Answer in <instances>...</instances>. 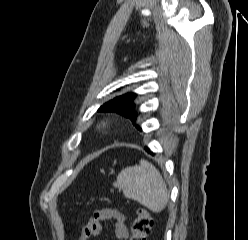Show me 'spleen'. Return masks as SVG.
Returning <instances> with one entry per match:
<instances>
[{
	"instance_id": "1",
	"label": "spleen",
	"mask_w": 248,
	"mask_h": 240,
	"mask_svg": "<svg viewBox=\"0 0 248 240\" xmlns=\"http://www.w3.org/2000/svg\"><path fill=\"white\" fill-rule=\"evenodd\" d=\"M126 198L135 200L155 213L167 205L169 194L160 172L142 159L139 165L123 169L113 184Z\"/></svg>"
}]
</instances>
